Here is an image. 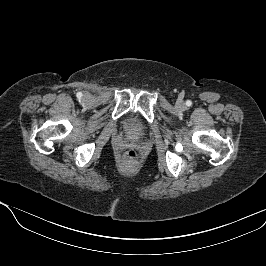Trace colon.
Instances as JSON below:
<instances>
[{
    "label": "colon",
    "mask_w": 266,
    "mask_h": 266,
    "mask_svg": "<svg viewBox=\"0 0 266 266\" xmlns=\"http://www.w3.org/2000/svg\"><path fill=\"white\" fill-rule=\"evenodd\" d=\"M125 159L127 162L129 163H135L138 160V154L136 151L134 150H129L126 154H125Z\"/></svg>",
    "instance_id": "obj_1"
}]
</instances>
